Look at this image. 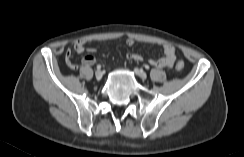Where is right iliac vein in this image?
I'll return each mask as SVG.
<instances>
[{
  "label": "right iliac vein",
  "instance_id": "63e3f726",
  "mask_svg": "<svg viewBox=\"0 0 244 157\" xmlns=\"http://www.w3.org/2000/svg\"><path fill=\"white\" fill-rule=\"evenodd\" d=\"M95 76H96V79H97V80H101V78L103 77V73H102V71L97 70V71L95 72Z\"/></svg>",
  "mask_w": 244,
  "mask_h": 157
}]
</instances>
